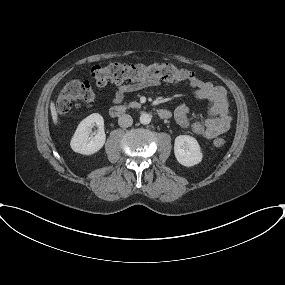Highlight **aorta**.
I'll list each match as a JSON object with an SVG mask.
<instances>
[{"instance_id":"762f6f07","label":"aorta","mask_w":285,"mask_h":285,"mask_svg":"<svg viewBox=\"0 0 285 285\" xmlns=\"http://www.w3.org/2000/svg\"><path fill=\"white\" fill-rule=\"evenodd\" d=\"M152 116L148 113H142L140 115V122L141 124L147 125L151 122Z\"/></svg>"}]
</instances>
